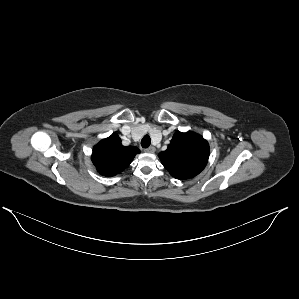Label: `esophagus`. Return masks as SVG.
Segmentation results:
<instances>
[{"mask_svg":"<svg viewBox=\"0 0 299 299\" xmlns=\"http://www.w3.org/2000/svg\"><path fill=\"white\" fill-rule=\"evenodd\" d=\"M145 151L148 152V153H154L155 152V147L150 146V147L146 148Z\"/></svg>","mask_w":299,"mask_h":299,"instance_id":"34e87169","label":"esophagus"}]
</instances>
